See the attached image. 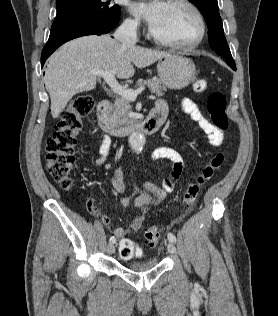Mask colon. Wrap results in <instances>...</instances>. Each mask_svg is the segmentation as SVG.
<instances>
[{"label":"colon","instance_id":"obj_1","mask_svg":"<svg viewBox=\"0 0 278 316\" xmlns=\"http://www.w3.org/2000/svg\"><path fill=\"white\" fill-rule=\"evenodd\" d=\"M207 88L203 79L196 80L193 84L195 92L200 93ZM93 99L88 95L75 98L62 112L56 130L46 141V168L51 177L67 190L72 186L71 172L75 163L74 150L77 137L82 130V119L92 113ZM207 110L212 124L221 131L229 127L226 114V98L220 91L212 92L207 99ZM224 162V154L216 153L197 174L195 179L187 186L183 195V205L190 209L196 202L202 186L213 176L215 171ZM93 209L92 206H90ZM145 240L150 247H155L160 238V229L152 226L145 231ZM121 257L129 259L141 256L142 250L133 241L123 239L119 243Z\"/></svg>","mask_w":278,"mask_h":316}]
</instances>
